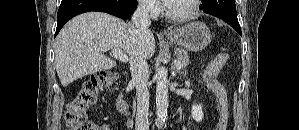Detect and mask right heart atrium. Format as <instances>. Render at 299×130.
<instances>
[{
    "label": "right heart atrium",
    "instance_id": "1",
    "mask_svg": "<svg viewBox=\"0 0 299 130\" xmlns=\"http://www.w3.org/2000/svg\"><path fill=\"white\" fill-rule=\"evenodd\" d=\"M139 6L144 13L150 16H156L160 12V5L155 0H140Z\"/></svg>",
    "mask_w": 299,
    "mask_h": 130
}]
</instances>
